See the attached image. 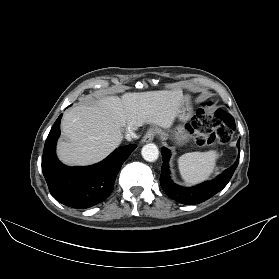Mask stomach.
Here are the masks:
<instances>
[{"instance_id":"obj_1","label":"stomach","mask_w":279,"mask_h":279,"mask_svg":"<svg viewBox=\"0 0 279 279\" xmlns=\"http://www.w3.org/2000/svg\"><path fill=\"white\" fill-rule=\"evenodd\" d=\"M191 115H192V109L189 105V99L188 97H185L182 108L178 114V117L180 118V120L185 122L191 118ZM162 136L164 139L168 137L166 133H162ZM188 139H189V134L187 133L185 128L183 126H179L174 133V140L176 141V143L181 145L185 143Z\"/></svg>"}]
</instances>
